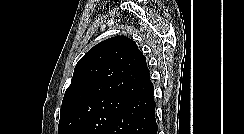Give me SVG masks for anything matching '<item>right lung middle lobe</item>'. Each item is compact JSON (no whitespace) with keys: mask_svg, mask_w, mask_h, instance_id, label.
<instances>
[{"mask_svg":"<svg viewBox=\"0 0 244 134\" xmlns=\"http://www.w3.org/2000/svg\"><path fill=\"white\" fill-rule=\"evenodd\" d=\"M132 99L103 97L79 104L59 121L58 134H102Z\"/></svg>","mask_w":244,"mask_h":134,"instance_id":"dd1d6c3e","label":"right lung middle lobe"}]
</instances>
